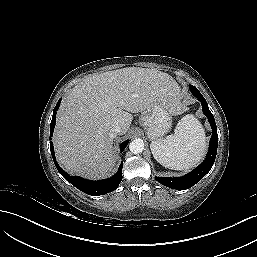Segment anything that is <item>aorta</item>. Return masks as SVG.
Here are the masks:
<instances>
[{
    "label": "aorta",
    "mask_w": 257,
    "mask_h": 257,
    "mask_svg": "<svg viewBox=\"0 0 257 257\" xmlns=\"http://www.w3.org/2000/svg\"><path fill=\"white\" fill-rule=\"evenodd\" d=\"M129 149L133 154H140L144 150V142L141 139H135L129 144Z\"/></svg>",
    "instance_id": "1"
}]
</instances>
